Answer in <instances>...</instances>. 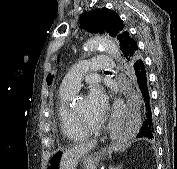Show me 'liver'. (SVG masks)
<instances>
[{
    "instance_id": "1",
    "label": "liver",
    "mask_w": 177,
    "mask_h": 169,
    "mask_svg": "<svg viewBox=\"0 0 177 169\" xmlns=\"http://www.w3.org/2000/svg\"><path fill=\"white\" fill-rule=\"evenodd\" d=\"M96 144L97 141L94 140L92 142L76 145L75 147L64 151L61 155L59 169H76L81 157L87 155Z\"/></svg>"
}]
</instances>
